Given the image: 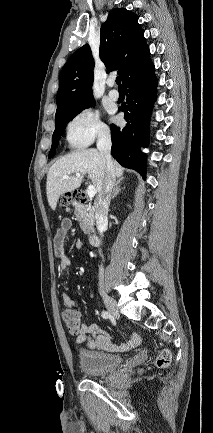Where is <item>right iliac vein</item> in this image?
Listing matches in <instances>:
<instances>
[{"label":"right iliac vein","instance_id":"right-iliac-vein-1","mask_svg":"<svg viewBox=\"0 0 213 433\" xmlns=\"http://www.w3.org/2000/svg\"><path fill=\"white\" fill-rule=\"evenodd\" d=\"M104 303L108 311L115 317H119V309L114 298L108 295L103 296Z\"/></svg>","mask_w":213,"mask_h":433}]
</instances>
